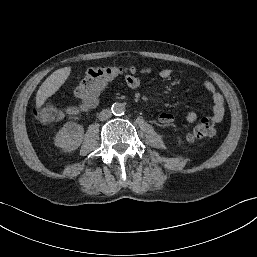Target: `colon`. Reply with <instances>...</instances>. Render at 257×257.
Segmentation results:
<instances>
[{
	"label": "colon",
	"instance_id": "5ec220e1",
	"mask_svg": "<svg viewBox=\"0 0 257 257\" xmlns=\"http://www.w3.org/2000/svg\"><path fill=\"white\" fill-rule=\"evenodd\" d=\"M130 67L98 66L90 68L81 79L75 95L83 107H92L97 103V94L115 76L130 74ZM34 115L41 123H50L61 118V110L52 102H45L34 107ZM216 133L215 123L211 118H202L188 133L189 141L210 138Z\"/></svg>",
	"mask_w": 257,
	"mask_h": 257
}]
</instances>
